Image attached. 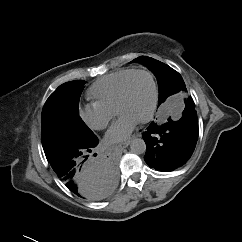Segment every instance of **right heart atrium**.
I'll return each mask as SVG.
<instances>
[{
    "instance_id": "obj_1",
    "label": "right heart atrium",
    "mask_w": 242,
    "mask_h": 242,
    "mask_svg": "<svg viewBox=\"0 0 242 242\" xmlns=\"http://www.w3.org/2000/svg\"><path fill=\"white\" fill-rule=\"evenodd\" d=\"M78 114L89 128L103 130L113 119L115 111L93 102L80 106Z\"/></svg>"
}]
</instances>
